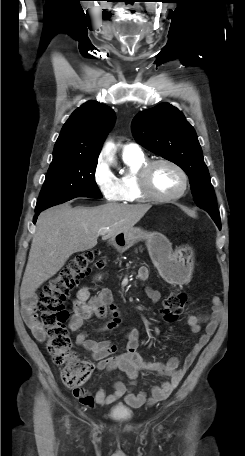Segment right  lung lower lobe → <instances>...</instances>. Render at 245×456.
<instances>
[{"instance_id": "obj_1", "label": "right lung lower lobe", "mask_w": 245, "mask_h": 456, "mask_svg": "<svg viewBox=\"0 0 245 456\" xmlns=\"http://www.w3.org/2000/svg\"><path fill=\"white\" fill-rule=\"evenodd\" d=\"M40 212H41V211L35 212V216H34V218H33V222H34V223H36L37 217H38V215L40 214Z\"/></svg>"}]
</instances>
